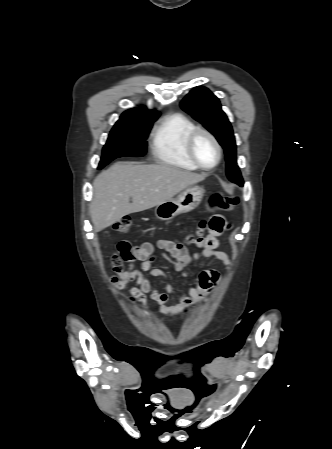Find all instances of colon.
Segmentation results:
<instances>
[{
    "label": "colon",
    "mask_w": 332,
    "mask_h": 449,
    "mask_svg": "<svg viewBox=\"0 0 332 449\" xmlns=\"http://www.w3.org/2000/svg\"><path fill=\"white\" fill-rule=\"evenodd\" d=\"M238 203V197L236 195H226L219 192L213 193L209 198V208L211 210H218L223 212L231 211ZM132 222L129 219H121L116 222L114 230L118 233H125L130 230ZM190 242H195L193 237L189 238ZM135 256L132 251L131 245L127 241H121L116 252L112 255V263L115 267L124 265L125 262L134 261Z\"/></svg>",
    "instance_id": "1"
}]
</instances>
